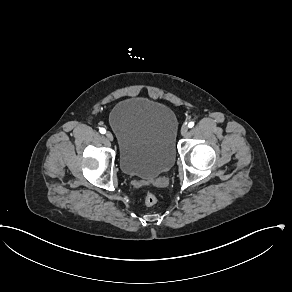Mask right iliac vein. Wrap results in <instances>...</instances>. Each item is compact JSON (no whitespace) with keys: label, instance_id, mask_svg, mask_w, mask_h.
<instances>
[{"label":"right iliac vein","instance_id":"obj_1","mask_svg":"<svg viewBox=\"0 0 292 292\" xmlns=\"http://www.w3.org/2000/svg\"><path fill=\"white\" fill-rule=\"evenodd\" d=\"M106 138L109 140V141H112L113 140V135H112V133L111 132H106Z\"/></svg>","mask_w":292,"mask_h":292}]
</instances>
